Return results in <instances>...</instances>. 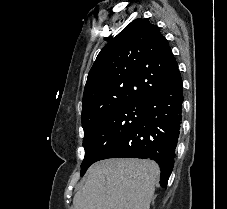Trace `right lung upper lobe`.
<instances>
[{
	"label": "right lung upper lobe",
	"instance_id": "1",
	"mask_svg": "<svg viewBox=\"0 0 227 209\" xmlns=\"http://www.w3.org/2000/svg\"><path fill=\"white\" fill-rule=\"evenodd\" d=\"M177 65L167 39L148 19H135L98 54L87 78L82 120L100 114L108 98L145 102L170 82L158 72Z\"/></svg>",
	"mask_w": 227,
	"mask_h": 209
}]
</instances>
